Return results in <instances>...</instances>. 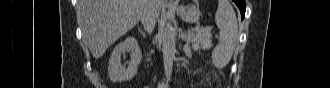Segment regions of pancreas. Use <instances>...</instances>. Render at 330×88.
<instances>
[{
  "label": "pancreas",
  "instance_id": "pancreas-1",
  "mask_svg": "<svg viewBox=\"0 0 330 88\" xmlns=\"http://www.w3.org/2000/svg\"><path fill=\"white\" fill-rule=\"evenodd\" d=\"M192 45L194 51L210 49L212 46V35L210 33L189 30L185 38Z\"/></svg>",
  "mask_w": 330,
  "mask_h": 88
}]
</instances>
